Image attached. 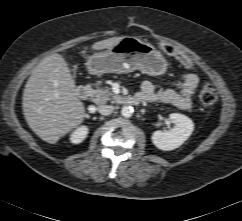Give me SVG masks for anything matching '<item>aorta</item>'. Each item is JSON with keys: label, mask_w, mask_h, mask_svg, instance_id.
Returning a JSON list of instances; mask_svg holds the SVG:
<instances>
[{"label": "aorta", "mask_w": 242, "mask_h": 221, "mask_svg": "<svg viewBox=\"0 0 242 221\" xmlns=\"http://www.w3.org/2000/svg\"><path fill=\"white\" fill-rule=\"evenodd\" d=\"M133 112H134L133 107L127 106V105L123 106L122 109H121V114L125 118L131 117Z\"/></svg>", "instance_id": "762f6f07"}]
</instances>
